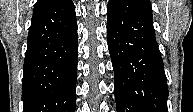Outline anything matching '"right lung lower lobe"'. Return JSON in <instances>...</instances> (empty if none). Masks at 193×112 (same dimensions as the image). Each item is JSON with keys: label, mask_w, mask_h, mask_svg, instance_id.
<instances>
[{"label": "right lung lower lobe", "mask_w": 193, "mask_h": 112, "mask_svg": "<svg viewBox=\"0 0 193 112\" xmlns=\"http://www.w3.org/2000/svg\"><path fill=\"white\" fill-rule=\"evenodd\" d=\"M78 35L72 0L33 11L22 83L24 112H75Z\"/></svg>", "instance_id": "right-lung-lower-lobe-1"}]
</instances>
